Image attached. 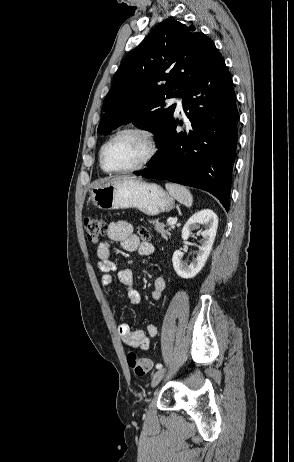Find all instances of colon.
<instances>
[{
	"label": "colon",
	"instance_id": "5ec220e1",
	"mask_svg": "<svg viewBox=\"0 0 294 462\" xmlns=\"http://www.w3.org/2000/svg\"><path fill=\"white\" fill-rule=\"evenodd\" d=\"M84 226L86 230L87 239L91 244H97L101 240L107 229L106 221L101 217L85 218ZM139 233L143 239L149 238V232L146 229H140ZM127 361L131 369L138 376H143L147 374L151 369L150 359L141 356L136 352H129L127 356Z\"/></svg>",
	"mask_w": 294,
	"mask_h": 462
}]
</instances>
